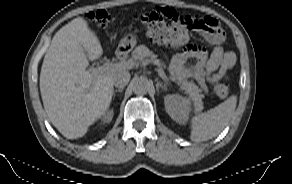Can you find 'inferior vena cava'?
<instances>
[{
	"mask_svg": "<svg viewBox=\"0 0 292 184\" xmlns=\"http://www.w3.org/2000/svg\"><path fill=\"white\" fill-rule=\"evenodd\" d=\"M130 73L127 71H120L116 73L113 77V85L118 88H124L129 80H130Z\"/></svg>",
	"mask_w": 292,
	"mask_h": 184,
	"instance_id": "obj_1",
	"label": "inferior vena cava"
}]
</instances>
